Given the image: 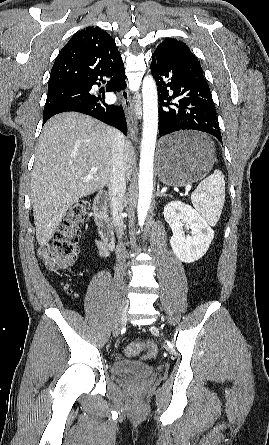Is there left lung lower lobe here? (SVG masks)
I'll return each mask as SVG.
<instances>
[{
    "label": "left lung lower lobe",
    "mask_w": 269,
    "mask_h": 445,
    "mask_svg": "<svg viewBox=\"0 0 269 445\" xmlns=\"http://www.w3.org/2000/svg\"><path fill=\"white\" fill-rule=\"evenodd\" d=\"M150 67L158 85L159 135L198 130L222 142L212 95L196 57L154 52Z\"/></svg>",
    "instance_id": "obj_1"
}]
</instances>
